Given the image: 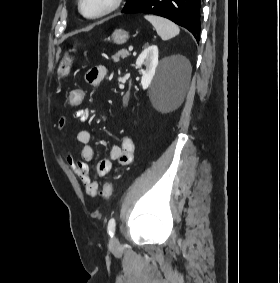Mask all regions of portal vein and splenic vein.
Masks as SVG:
<instances>
[{
    "label": "portal vein and splenic vein",
    "instance_id": "1",
    "mask_svg": "<svg viewBox=\"0 0 280 283\" xmlns=\"http://www.w3.org/2000/svg\"><path fill=\"white\" fill-rule=\"evenodd\" d=\"M132 50H133V47H132V46H130V47H129V51H132Z\"/></svg>",
    "mask_w": 280,
    "mask_h": 283
}]
</instances>
